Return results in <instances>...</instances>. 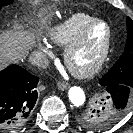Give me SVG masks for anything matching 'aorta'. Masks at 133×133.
I'll use <instances>...</instances> for the list:
<instances>
[{"instance_id":"762f6f07","label":"aorta","mask_w":133,"mask_h":133,"mask_svg":"<svg viewBox=\"0 0 133 133\" xmlns=\"http://www.w3.org/2000/svg\"><path fill=\"white\" fill-rule=\"evenodd\" d=\"M68 97L70 102L77 107L82 106L86 100L84 91L78 86H73L69 89Z\"/></svg>"}]
</instances>
